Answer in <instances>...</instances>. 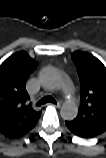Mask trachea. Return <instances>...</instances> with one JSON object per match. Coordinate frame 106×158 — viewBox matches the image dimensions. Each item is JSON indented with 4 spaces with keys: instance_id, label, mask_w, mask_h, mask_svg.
Here are the masks:
<instances>
[{
    "instance_id": "3493384b",
    "label": "trachea",
    "mask_w": 106,
    "mask_h": 158,
    "mask_svg": "<svg viewBox=\"0 0 106 158\" xmlns=\"http://www.w3.org/2000/svg\"><path fill=\"white\" fill-rule=\"evenodd\" d=\"M47 102H51V103H54V104L57 103L56 100L53 97H51V96H45L37 104L38 105H42V104H45Z\"/></svg>"
}]
</instances>
